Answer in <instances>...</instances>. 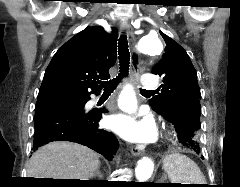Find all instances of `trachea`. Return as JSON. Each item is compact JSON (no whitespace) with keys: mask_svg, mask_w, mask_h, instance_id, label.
<instances>
[{"mask_svg":"<svg viewBox=\"0 0 240 187\" xmlns=\"http://www.w3.org/2000/svg\"><path fill=\"white\" fill-rule=\"evenodd\" d=\"M118 54H119V65L120 71L116 78L102 82V87L104 88V93H111L115 90L118 82L121 80L123 76L128 73L129 63H130V53L128 49V42L125 35H121L118 42ZM141 92L150 93L153 91H148L142 89Z\"/></svg>","mask_w":240,"mask_h":187,"instance_id":"obj_1","label":"trachea"}]
</instances>
